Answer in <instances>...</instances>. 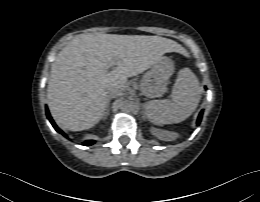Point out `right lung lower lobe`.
I'll return each instance as SVG.
<instances>
[{"mask_svg":"<svg viewBox=\"0 0 260 202\" xmlns=\"http://www.w3.org/2000/svg\"><path fill=\"white\" fill-rule=\"evenodd\" d=\"M46 115H47V118L49 119V121L51 122L52 126L55 128V130L59 133H62L64 136L65 134L56 126V124L54 123L53 119L51 118L50 116V113L48 111V109L46 108ZM95 141L94 140H87L83 143V145H86V146H89V145H92L94 144Z\"/></svg>","mask_w":260,"mask_h":202,"instance_id":"right-lung-lower-lobe-1","label":"right lung lower lobe"}]
</instances>
